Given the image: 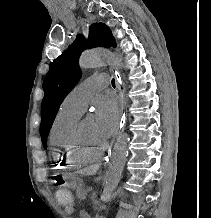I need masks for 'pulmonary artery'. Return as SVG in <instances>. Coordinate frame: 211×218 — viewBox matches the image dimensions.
I'll return each mask as SVG.
<instances>
[{"label": "pulmonary artery", "mask_w": 211, "mask_h": 218, "mask_svg": "<svg viewBox=\"0 0 211 218\" xmlns=\"http://www.w3.org/2000/svg\"><path fill=\"white\" fill-rule=\"evenodd\" d=\"M90 79H108V74L93 75L87 80H83V84L76 86L67 94L63 101V105L83 113L91 95L96 91H104V87H108L110 84L109 80Z\"/></svg>", "instance_id": "obj_1"}]
</instances>
